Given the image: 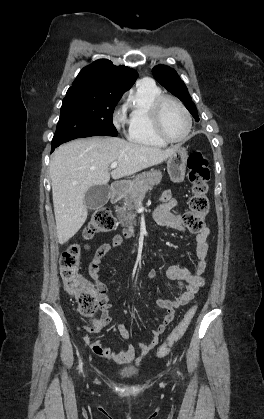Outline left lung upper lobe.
Instances as JSON below:
<instances>
[{"label": "left lung upper lobe", "mask_w": 264, "mask_h": 419, "mask_svg": "<svg viewBox=\"0 0 264 419\" xmlns=\"http://www.w3.org/2000/svg\"><path fill=\"white\" fill-rule=\"evenodd\" d=\"M155 79L165 87L169 92L178 97L186 106L192 116L198 121V113L190 94L180 79L178 74L172 68L165 65H158L152 69Z\"/></svg>", "instance_id": "5c2ea615"}]
</instances>
